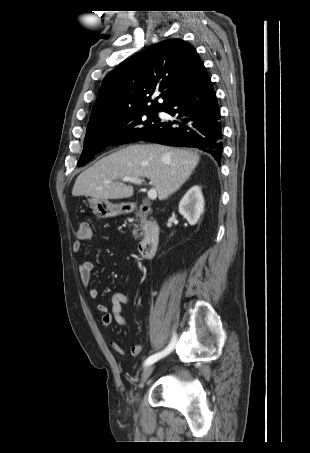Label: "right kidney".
I'll return each instance as SVG.
<instances>
[{
	"label": "right kidney",
	"instance_id": "right-kidney-1",
	"mask_svg": "<svg viewBox=\"0 0 310 453\" xmlns=\"http://www.w3.org/2000/svg\"><path fill=\"white\" fill-rule=\"evenodd\" d=\"M204 211V198L201 188L197 185L191 187L179 203L180 214L190 225H195Z\"/></svg>",
	"mask_w": 310,
	"mask_h": 453
}]
</instances>
